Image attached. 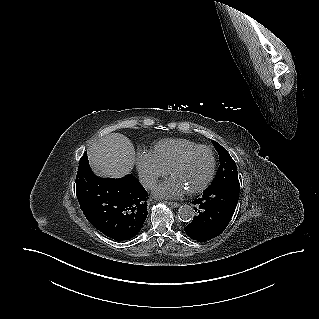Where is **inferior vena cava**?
Returning <instances> with one entry per match:
<instances>
[{
    "label": "inferior vena cava",
    "instance_id": "inferior-vena-cava-1",
    "mask_svg": "<svg viewBox=\"0 0 319 319\" xmlns=\"http://www.w3.org/2000/svg\"><path fill=\"white\" fill-rule=\"evenodd\" d=\"M140 182L145 188L151 189L155 186L156 179L150 176H143L140 178Z\"/></svg>",
    "mask_w": 319,
    "mask_h": 319
}]
</instances>
